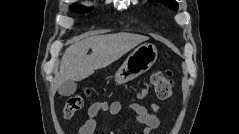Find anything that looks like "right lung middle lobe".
Returning <instances> with one entry per match:
<instances>
[{"label": "right lung middle lobe", "mask_w": 239, "mask_h": 134, "mask_svg": "<svg viewBox=\"0 0 239 134\" xmlns=\"http://www.w3.org/2000/svg\"><path fill=\"white\" fill-rule=\"evenodd\" d=\"M71 10L80 12V13H84V12H88V11L92 10V8H85L82 5L75 4L73 7H71Z\"/></svg>", "instance_id": "1"}]
</instances>
